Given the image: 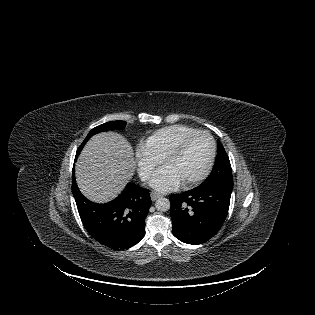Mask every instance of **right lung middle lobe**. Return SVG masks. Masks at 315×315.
<instances>
[{
	"label": "right lung middle lobe",
	"instance_id": "obj_1",
	"mask_svg": "<svg viewBox=\"0 0 315 315\" xmlns=\"http://www.w3.org/2000/svg\"><path fill=\"white\" fill-rule=\"evenodd\" d=\"M126 125L125 121H110L107 123H104L102 125H99L95 128H93L87 135V137L85 138L84 142L82 143V145L80 146V148L78 149L77 152V156L79 154V152L82 150V148L84 147L85 143L91 138V136H93L94 134H97L99 132H103V131H108V130H112V129H124Z\"/></svg>",
	"mask_w": 315,
	"mask_h": 315
}]
</instances>
